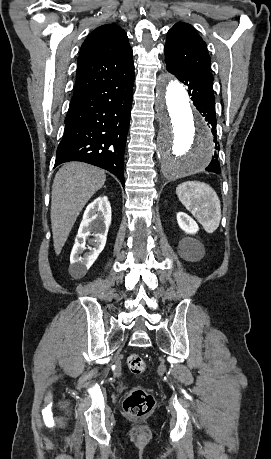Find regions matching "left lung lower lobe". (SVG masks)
Masks as SVG:
<instances>
[{
	"label": "left lung lower lobe",
	"mask_w": 271,
	"mask_h": 459,
	"mask_svg": "<svg viewBox=\"0 0 271 459\" xmlns=\"http://www.w3.org/2000/svg\"><path fill=\"white\" fill-rule=\"evenodd\" d=\"M167 70L174 74L184 85L188 86V93L192 96L191 100L197 110L205 117V120L212 128V134L215 143V152L206 171L220 173V164L218 160L219 145L216 138V116H215V97L213 93V75L212 73H188L176 71L169 67Z\"/></svg>",
	"instance_id": "0a47b994"
}]
</instances>
